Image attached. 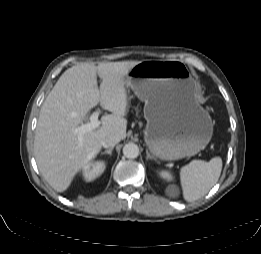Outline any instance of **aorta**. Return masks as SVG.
<instances>
[{"label": "aorta", "instance_id": "762f6f07", "mask_svg": "<svg viewBox=\"0 0 261 254\" xmlns=\"http://www.w3.org/2000/svg\"><path fill=\"white\" fill-rule=\"evenodd\" d=\"M123 155L126 158L134 159L137 158L139 155V148L134 143H128L123 147Z\"/></svg>", "mask_w": 261, "mask_h": 254}]
</instances>
